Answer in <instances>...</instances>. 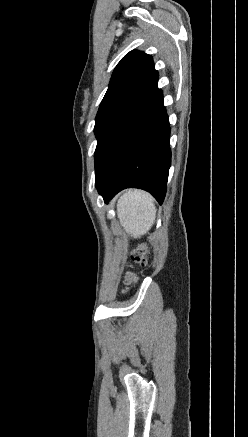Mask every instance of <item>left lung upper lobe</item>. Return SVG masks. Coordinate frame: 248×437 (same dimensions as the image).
Returning a JSON list of instances; mask_svg holds the SVG:
<instances>
[{"label":"left lung upper lobe","instance_id":"5c2ea615","mask_svg":"<svg viewBox=\"0 0 248 437\" xmlns=\"http://www.w3.org/2000/svg\"><path fill=\"white\" fill-rule=\"evenodd\" d=\"M158 77L151 55L137 50L126 54L116 66L95 119V174L114 132L158 90Z\"/></svg>","mask_w":248,"mask_h":437}]
</instances>
